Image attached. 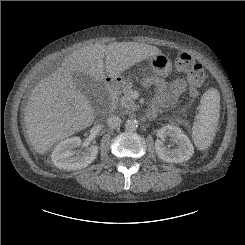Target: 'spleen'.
<instances>
[{
    "label": "spleen",
    "instance_id": "3e777b00",
    "mask_svg": "<svg viewBox=\"0 0 245 245\" xmlns=\"http://www.w3.org/2000/svg\"><path fill=\"white\" fill-rule=\"evenodd\" d=\"M220 117V94L208 89L200 101V111L193 125L192 139L199 150H205L214 139Z\"/></svg>",
    "mask_w": 245,
    "mask_h": 245
}]
</instances>
